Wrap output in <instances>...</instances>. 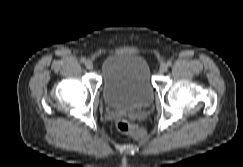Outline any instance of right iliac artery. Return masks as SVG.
<instances>
[{"instance_id": "1", "label": "right iliac artery", "mask_w": 243, "mask_h": 167, "mask_svg": "<svg viewBox=\"0 0 243 167\" xmlns=\"http://www.w3.org/2000/svg\"><path fill=\"white\" fill-rule=\"evenodd\" d=\"M80 62H81V63H85V62H86V58H85V57H82V58L80 59Z\"/></svg>"}]
</instances>
